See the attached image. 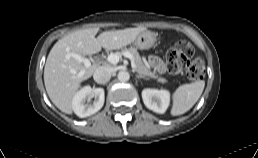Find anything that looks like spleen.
Returning <instances> with one entry per match:
<instances>
[{"label": "spleen", "instance_id": "obj_1", "mask_svg": "<svg viewBox=\"0 0 258 158\" xmlns=\"http://www.w3.org/2000/svg\"><path fill=\"white\" fill-rule=\"evenodd\" d=\"M205 87L204 80L181 85L173 94L171 114L178 116L189 111L200 98Z\"/></svg>", "mask_w": 258, "mask_h": 158}]
</instances>
